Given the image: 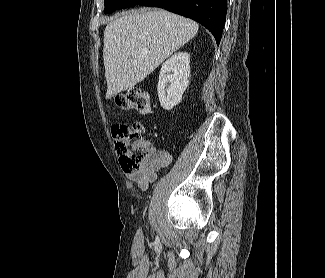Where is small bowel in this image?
I'll return each mask as SVG.
<instances>
[{"instance_id": "obj_1", "label": "small bowel", "mask_w": 325, "mask_h": 278, "mask_svg": "<svg viewBox=\"0 0 325 278\" xmlns=\"http://www.w3.org/2000/svg\"><path fill=\"white\" fill-rule=\"evenodd\" d=\"M148 145L151 153L143 167L139 171L126 173L127 179L131 182H136L143 191H146L157 179L158 170L167 167L172 160L169 152L157 150L149 143Z\"/></svg>"}]
</instances>
